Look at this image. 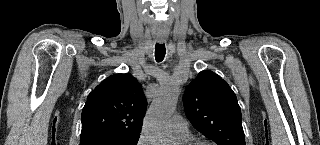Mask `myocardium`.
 I'll list each match as a JSON object with an SVG mask.
<instances>
[{"label":"myocardium","mask_w":320,"mask_h":145,"mask_svg":"<svg viewBox=\"0 0 320 145\" xmlns=\"http://www.w3.org/2000/svg\"><path fill=\"white\" fill-rule=\"evenodd\" d=\"M182 145H209V144L207 142H205V141H194V140H191V141L184 142Z\"/></svg>","instance_id":"1"}]
</instances>
